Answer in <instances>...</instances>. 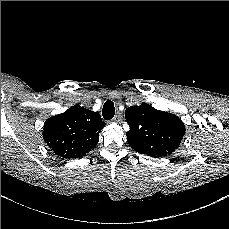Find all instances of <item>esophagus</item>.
Listing matches in <instances>:
<instances>
[{"mask_svg": "<svg viewBox=\"0 0 229 229\" xmlns=\"http://www.w3.org/2000/svg\"><path fill=\"white\" fill-rule=\"evenodd\" d=\"M112 121L115 122V123H120V122L122 121V115H121L120 113H117V114L114 116V118H113Z\"/></svg>", "mask_w": 229, "mask_h": 229, "instance_id": "34e87169", "label": "esophagus"}]
</instances>
